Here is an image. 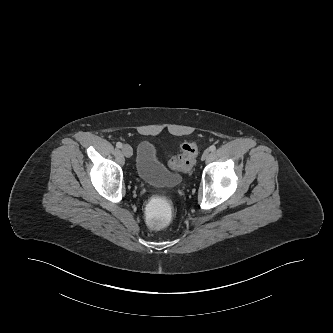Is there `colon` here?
Returning a JSON list of instances; mask_svg holds the SVG:
<instances>
[{
  "label": "colon",
  "mask_w": 333,
  "mask_h": 333,
  "mask_svg": "<svg viewBox=\"0 0 333 333\" xmlns=\"http://www.w3.org/2000/svg\"><path fill=\"white\" fill-rule=\"evenodd\" d=\"M198 153L195 142L184 143L181 153L172 157L168 165L176 171L188 172L193 167ZM172 208L165 198L157 196L149 200L144 207L143 217L145 224L154 231L163 230L172 220Z\"/></svg>",
  "instance_id": "5ec220e1"
}]
</instances>
